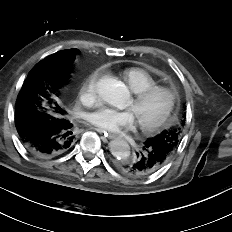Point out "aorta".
I'll return each instance as SVG.
<instances>
[{
	"label": "aorta",
	"mask_w": 232,
	"mask_h": 232,
	"mask_svg": "<svg viewBox=\"0 0 232 232\" xmlns=\"http://www.w3.org/2000/svg\"><path fill=\"white\" fill-rule=\"evenodd\" d=\"M98 93L104 101L119 109L126 107L130 94L126 86L114 77H104L97 83ZM110 152L118 159H126L130 155L129 144L121 138L109 143Z\"/></svg>",
	"instance_id": "1"
}]
</instances>
